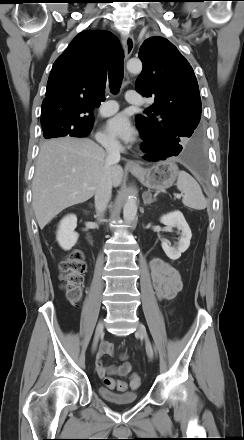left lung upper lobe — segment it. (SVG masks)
Returning a JSON list of instances; mask_svg holds the SVG:
<instances>
[{"instance_id":"left-lung-upper-lobe-1","label":"left lung upper lobe","mask_w":244,"mask_h":440,"mask_svg":"<svg viewBox=\"0 0 244 440\" xmlns=\"http://www.w3.org/2000/svg\"><path fill=\"white\" fill-rule=\"evenodd\" d=\"M143 70L136 91L154 97L148 116H136L138 127L159 135L167 144L178 145L184 137H200L202 106L198 82L189 62L167 39L151 37L141 46ZM152 112V113H151Z\"/></svg>"}]
</instances>
